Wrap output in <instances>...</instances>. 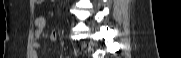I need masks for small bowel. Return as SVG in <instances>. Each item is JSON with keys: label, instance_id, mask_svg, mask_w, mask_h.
I'll return each instance as SVG.
<instances>
[{"label": "small bowel", "instance_id": "obj_1", "mask_svg": "<svg viewBox=\"0 0 181 58\" xmlns=\"http://www.w3.org/2000/svg\"><path fill=\"white\" fill-rule=\"evenodd\" d=\"M46 25V20L44 17L40 16L37 17L34 20V27H35V37H34V42H33V47H34V58H38L37 56V50L40 48V38L43 33V30ZM58 39V33L53 31L50 34V40L51 41H56Z\"/></svg>", "mask_w": 181, "mask_h": 58}]
</instances>
